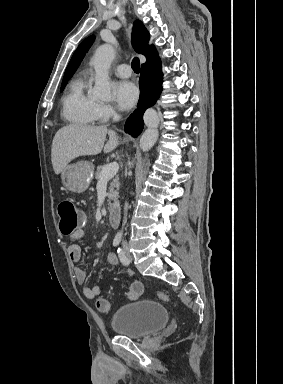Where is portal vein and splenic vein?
<instances>
[{"label":"portal vein and splenic vein","instance_id":"18ae733b","mask_svg":"<svg viewBox=\"0 0 283 384\" xmlns=\"http://www.w3.org/2000/svg\"><path fill=\"white\" fill-rule=\"evenodd\" d=\"M118 170L119 166L117 162H112V164H108V166H105V168H103L101 172L100 182H108V180H111V178H114V176H116Z\"/></svg>","mask_w":283,"mask_h":384}]
</instances>
